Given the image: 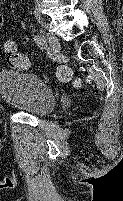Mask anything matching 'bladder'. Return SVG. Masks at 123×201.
I'll list each match as a JSON object with an SVG mask.
<instances>
[{
    "label": "bladder",
    "instance_id": "1",
    "mask_svg": "<svg viewBox=\"0 0 123 201\" xmlns=\"http://www.w3.org/2000/svg\"><path fill=\"white\" fill-rule=\"evenodd\" d=\"M0 95L10 107L42 117L56 105L55 93L36 75L19 71L0 72Z\"/></svg>",
    "mask_w": 123,
    "mask_h": 201
}]
</instances>
